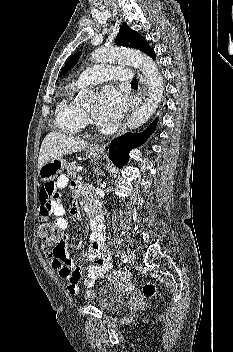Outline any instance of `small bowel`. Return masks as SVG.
<instances>
[{
  "label": "small bowel",
  "instance_id": "c3829d8e",
  "mask_svg": "<svg viewBox=\"0 0 233 352\" xmlns=\"http://www.w3.org/2000/svg\"><path fill=\"white\" fill-rule=\"evenodd\" d=\"M68 184L66 176L61 175L55 181L45 182L40 189V210L39 216L41 222L51 223L63 231L68 226V221L63 217L65 213V204L62 201L61 190ZM74 193L77 195L78 186H72ZM70 213L79 218L80 212L76 203H73ZM90 244L85 253V257L93 261L89 266H76L69 258L66 247L70 241L68 236L63 243L53 248H44V255L50 262L51 266L56 269L60 276L67 282L68 292L77 294L79 286L83 283L87 287H92L95 282L104 276L112 268L111 254L106 244L104 234V225L101 216L96 220H91Z\"/></svg>",
  "mask_w": 233,
  "mask_h": 352
}]
</instances>
